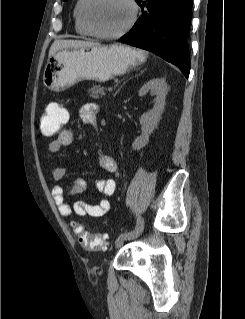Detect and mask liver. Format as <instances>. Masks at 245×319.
<instances>
[{
	"instance_id": "obj_1",
	"label": "liver",
	"mask_w": 245,
	"mask_h": 319,
	"mask_svg": "<svg viewBox=\"0 0 245 319\" xmlns=\"http://www.w3.org/2000/svg\"><path fill=\"white\" fill-rule=\"evenodd\" d=\"M99 46V43H94L90 41L83 40H56L52 44L49 50V57L54 55L57 51L61 49H71V48H85Z\"/></svg>"
}]
</instances>
